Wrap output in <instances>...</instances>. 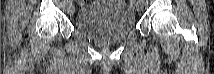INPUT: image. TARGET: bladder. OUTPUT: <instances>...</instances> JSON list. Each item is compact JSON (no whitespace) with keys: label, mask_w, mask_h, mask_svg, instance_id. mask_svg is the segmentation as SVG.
I'll return each instance as SVG.
<instances>
[{"label":"bladder","mask_w":214,"mask_h":74,"mask_svg":"<svg viewBox=\"0 0 214 74\" xmlns=\"http://www.w3.org/2000/svg\"><path fill=\"white\" fill-rule=\"evenodd\" d=\"M135 26L133 11L120 1H96L84 6L75 16L74 29L91 41H117Z\"/></svg>","instance_id":"obj_1"}]
</instances>
